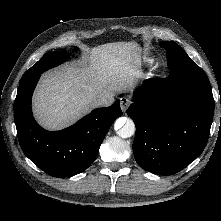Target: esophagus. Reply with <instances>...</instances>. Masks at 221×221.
<instances>
[{
    "label": "esophagus",
    "instance_id": "1",
    "mask_svg": "<svg viewBox=\"0 0 221 221\" xmlns=\"http://www.w3.org/2000/svg\"><path fill=\"white\" fill-rule=\"evenodd\" d=\"M130 104H131V101L128 98L122 97L120 99V106H121V110L123 113L126 112Z\"/></svg>",
    "mask_w": 221,
    "mask_h": 221
}]
</instances>
